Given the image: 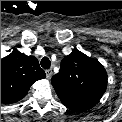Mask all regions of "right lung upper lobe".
Masks as SVG:
<instances>
[{
  "label": "right lung upper lobe",
  "mask_w": 122,
  "mask_h": 122,
  "mask_svg": "<svg viewBox=\"0 0 122 122\" xmlns=\"http://www.w3.org/2000/svg\"><path fill=\"white\" fill-rule=\"evenodd\" d=\"M45 77L37 58L14 49L1 59V103L10 104L21 100L34 82Z\"/></svg>",
  "instance_id": "cb5924a9"
}]
</instances>
